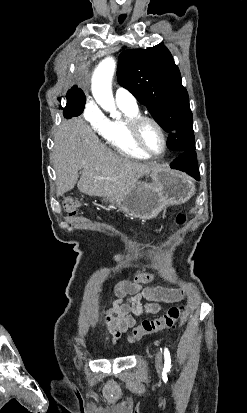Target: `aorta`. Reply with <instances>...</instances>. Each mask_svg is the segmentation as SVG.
Returning a JSON list of instances; mask_svg holds the SVG:
<instances>
[{"instance_id": "762f6f07", "label": "aorta", "mask_w": 247, "mask_h": 413, "mask_svg": "<svg viewBox=\"0 0 247 413\" xmlns=\"http://www.w3.org/2000/svg\"><path fill=\"white\" fill-rule=\"evenodd\" d=\"M116 62L112 57L105 58L96 68L92 77V94L96 102L112 116H118L112 93V78Z\"/></svg>"}]
</instances>
